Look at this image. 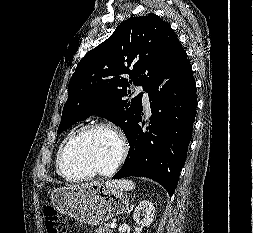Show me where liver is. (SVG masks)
<instances>
[{"label": "liver", "mask_w": 253, "mask_h": 233, "mask_svg": "<svg viewBox=\"0 0 253 233\" xmlns=\"http://www.w3.org/2000/svg\"><path fill=\"white\" fill-rule=\"evenodd\" d=\"M98 182H93V183H89V184H97ZM111 181H108L106 182L105 184L108 185V186H111ZM83 185H86V184H83Z\"/></svg>", "instance_id": "6515ba94"}]
</instances>
